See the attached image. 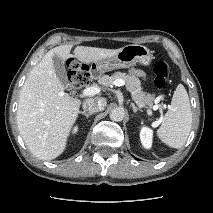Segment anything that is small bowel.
Instances as JSON below:
<instances>
[{
	"label": "small bowel",
	"mask_w": 213,
	"mask_h": 213,
	"mask_svg": "<svg viewBox=\"0 0 213 213\" xmlns=\"http://www.w3.org/2000/svg\"><path fill=\"white\" fill-rule=\"evenodd\" d=\"M134 74L137 76V77H143V73L139 70H134Z\"/></svg>",
	"instance_id": "c3829d8e"
}]
</instances>
